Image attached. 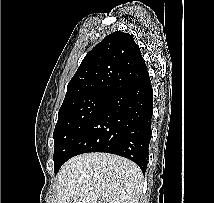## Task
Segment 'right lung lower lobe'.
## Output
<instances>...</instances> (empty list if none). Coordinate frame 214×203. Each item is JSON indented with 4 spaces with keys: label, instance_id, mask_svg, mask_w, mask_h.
<instances>
[{
    "label": "right lung lower lobe",
    "instance_id": "1",
    "mask_svg": "<svg viewBox=\"0 0 214 203\" xmlns=\"http://www.w3.org/2000/svg\"><path fill=\"white\" fill-rule=\"evenodd\" d=\"M152 114L153 90L148 76L111 95L75 142L67 160L83 153L106 152L132 160L145 173Z\"/></svg>",
    "mask_w": 214,
    "mask_h": 203
}]
</instances>
